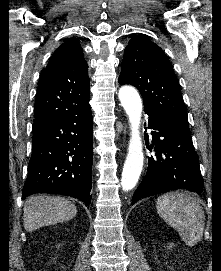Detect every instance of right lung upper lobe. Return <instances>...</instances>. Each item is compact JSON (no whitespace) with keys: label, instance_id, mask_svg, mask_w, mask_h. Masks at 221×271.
Listing matches in <instances>:
<instances>
[{"label":"right lung upper lobe","instance_id":"cb5924a9","mask_svg":"<svg viewBox=\"0 0 221 271\" xmlns=\"http://www.w3.org/2000/svg\"><path fill=\"white\" fill-rule=\"evenodd\" d=\"M89 108L88 64L76 39L64 42L39 78L33 129Z\"/></svg>","mask_w":221,"mask_h":271}]
</instances>
